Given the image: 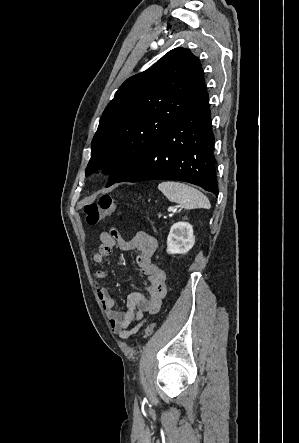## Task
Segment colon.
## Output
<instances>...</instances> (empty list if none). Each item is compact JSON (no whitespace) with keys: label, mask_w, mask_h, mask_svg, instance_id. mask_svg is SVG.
I'll list each match as a JSON object with an SVG mask.
<instances>
[{"label":"colon","mask_w":299,"mask_h":443,"mask_svg":"<svg viewBox=\"0 0 299 443\" xmlns=\"http://www.w3.org/2000/svg\"><path fill=\"white\" fill-rule=\"evenodd\" d=\"M117 208L116 201L109 195H103L98 202H92L84 207L85 219L88 225H96L102 219L111 215ZM156 327V323H150L144 329L142 338L150 337Z\"/></svg>","instance_id":"1"}]
</instances>
